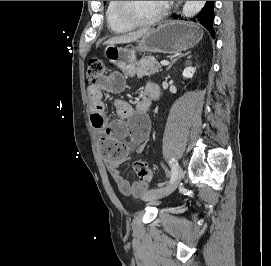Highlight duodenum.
I'll list each match as a JSON object with an SVG mask.
<instances>
[{
    "instance_id": "410a0bca",
    "label": "duodenum",
    "mask_w": 271,
    "mask_h": 266,
    "mask_svg": "<svg viewBox=\"0 0 271 266\" xmlns=\"http://www.w3.org/2000/svg\"><path fill=\"white\" fill-rule=\"evenodd\" d=\"M159 95V88L155 84L149 86L147 97L149 99L155 98Z\"/></svg>"
}]
</instances>
